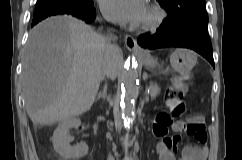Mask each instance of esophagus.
<instances>
[{"label":"esophagus","instance_id":"obj_1","mask_svg":"<svg viewBox=\"0 0 242 160\" xmlns=\"http://www.w3.org/2000/svg\"><path fill=\"white\" fill-rule=\"evenodd\" d=\"M125 45L128 50L136 53H143L144 51L138 46L137 41L131 35H125Z\"/></svg>","mask_w":242,"mask_h":160}]
</instances>
